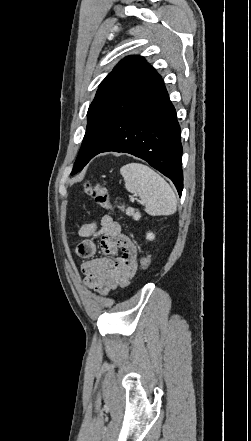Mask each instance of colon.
Wrapping results in <instances>:
<instances>
[{
	"mask_svg": "<svg viewBox=\"0 0 251 441\" xmlns=\"http://www.w3.org/2000/svg\"><path fill=\"white\" fill-rule=\"evenodd\" d=\"M84 191L87 195L93 198L95 204L103 209L112 210V205L109 199L107 189L97 184H91L89 182L85 183ZM150 256L144 255L140 260V265L142 269H147L150 265Z\"/></svg>",
	"mask_w": 251,
	"mask_h": 441,
	"instance_id": "obj_1",
	"label": "colon"
}]
</instances>
